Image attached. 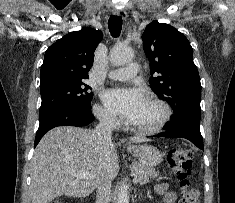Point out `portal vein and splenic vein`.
<instances>
[{
	"label": "portal vein and splenic vein",
	"instance_id": "portal-vein-and-splenic-vein-1",
	"mask_svg": "<svg viewBox=\"0 0 235 203\" xmlns=\"http://www.w3.org/2000/svg\"><path fill=\"white\" fill-rule=\"evenodd\" d=\"M73 176L77 177V178H82V179H88V178H92L93 176L88 173V172H76V171H71L70 172ZM133 182L137 183L138 182V178L135 176L133 178Z\"/></svg>",
	"mask_w": 235,
	"mask_h": 203
}]
</instances>
